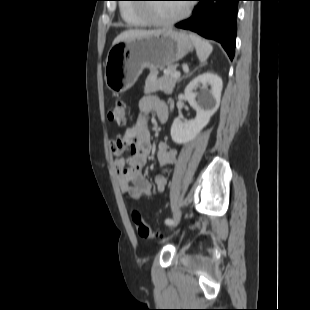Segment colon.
Listing matches in <instances>:
<instances>
[{"instance_id": "colon-1", "label": "colon", "mask_w": 310, "mask_h": 310, "mask_svg": "<svg viewBox=\"0 0 310 310\" xmlns=\"http://www.w3.org/2000/svg\"><path fill=\"white\" fill-rule=\"evenodd\" d=\"M108 118L110 121L119 126H124L127 122V105L124 101L116 102L108 111ZM132 220L135 224L137 232L140 237L145 239H152L157 237V232L154 231L143 219L138 210L132 211Z\"/></svg>"}]
</instances>
